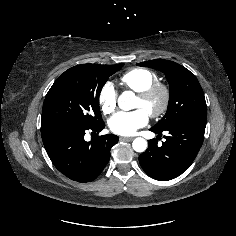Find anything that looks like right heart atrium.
<instances>
[{
	"mask_svg": "<svg viewBox=\"0 0 236 236\" xmlns=\"http://www.w3.org/2000/svg\"><path fill=\"white\" fill-rule=\"evenodd\" d=\"M98 102L103 114H111L117 105V91L111 82H106L98 94Z\"/></svg>",
	"mask_w": 236,
	"mask_h": 236,
	"instance_id": "right-heart-atrium-1",
	"label": "right heart atrium"
}]
</instances>
